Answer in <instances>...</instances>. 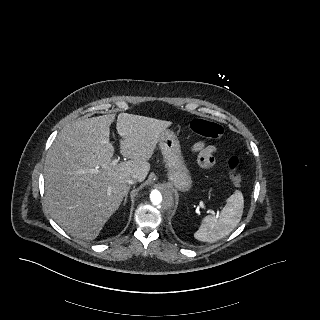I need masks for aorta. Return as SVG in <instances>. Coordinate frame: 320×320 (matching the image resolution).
I'll list each match as a JSON object with an SVG mask.
<instances>
[{"label": "aorta", "mask_w": 320, "mask_h": 320, "mask_svg": "<svg viewBox=\"0 0 320 320\" xmlns=\"http://www.w3.org/2000/svg\"><path fill=\"white\" fill-rule=\"evenodd\" d=\"M150 209L156 215H163L165 210L172 209L174 194L168 185L160 186L151 191L149 195Z\"/></svg>", "instance_id": "762f6f07"}]
</instances>
